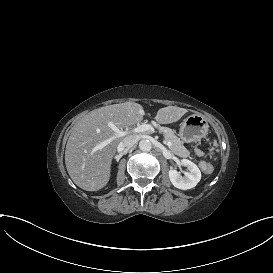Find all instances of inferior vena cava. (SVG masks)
<instances>
[{"label": "inferior vena cava", "mask_w": 273, "mask_h": 273, "mask_svg": "<svg viewBox=\"0 0 273 273\" xmlns=\"http://www.w3.org/2000/svg\"><path fill=\"white\" fill-rule=\"evenodd\" d=\"M139 141L138 137L135 135L128 136L123 139V141L120 143V146L123 148H131L137 144Z\"/></svg>", "instance_id": "obj_1"}]
</instances>
